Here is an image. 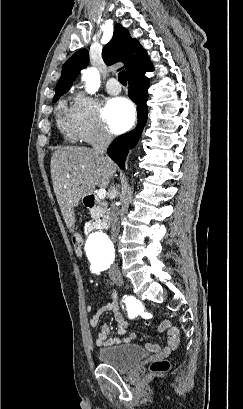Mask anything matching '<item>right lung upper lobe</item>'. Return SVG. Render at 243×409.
<instances>
[{
	"mask_svg": "<svg viewBox=\"0 0 243 409\" xmlns=\"http://www.w3.org/2000/svg\"><path fill=\"white\" fill-rule=\"evenodd\" d=\"M102 57L108 65L123 62L128 79L153 68L147 52L136 39L130 37L128 30L120 24L115 25L113 37L103 48ZM88 63L89 55L86 49L74 53L63 65L61 77L56 86V94L66 93L71 88L76 75Z\"/></svg>",
	"mask_w": 243,
	"mask_h": 409,
	"instance_id": "obj_1",
	"label": "right lung upper lobe"
}]
</instances>
